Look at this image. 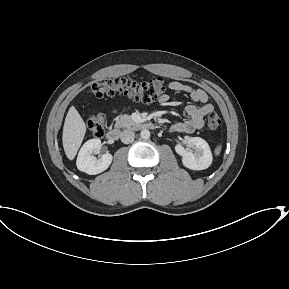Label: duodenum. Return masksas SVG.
<instances>
[{
    "mask_svg": "<svg viewBox=\"0 0 289 289\" xmlns=\"http://www.w3.org/2000/svg\"><path fill=\"white\" fill-rule=\"evenodd\" d=\"M153 126L154 125L152 123H146V124H140L137 127L138 128H153ZM120 135H121V129L113 128L107 132L106 138L110 142H115L120 138Z\"/></svg>",
    "mask_w": 289,
    "mask_h": 289,
    "instance_id": "410a0bca",
    "label": "duodenum"
}]
</instances>
